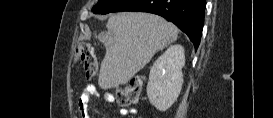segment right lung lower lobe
I'll return each mask as SVG.
<instances>
[{
    "label": "right lung lower lobe",
    "instance_id": "obj_1",
    "mask_svg": "<svg viewBox=\"0 0 273 118\" xmlns=\"http://www.w3.org/2000/svg\"><path fill=\"white\" fill-rule=\"evenodd\" d=\"M206 0H126L113 12L141 11L157 14L187 34L195 49L201 40Z\"/></svg>",
    "mask_w": 273,
    "mask_h": 118
}]
</instances>
